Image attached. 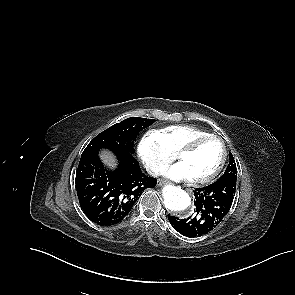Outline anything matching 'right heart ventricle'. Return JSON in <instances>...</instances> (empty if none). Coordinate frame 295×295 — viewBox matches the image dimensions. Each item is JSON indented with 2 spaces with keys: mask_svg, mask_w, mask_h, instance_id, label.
<instances>
[{
  "mask_svg": "<svg viewBox=\"0 0 295 295\" xmlns=\"http://www.w3.org/2000/svg\"><path fill=\"white\" fill-rule=\"evenodd\" d=\"M164 147L175 154L191 139L208 134L204 129L190 125H170L156 131Z\"/></svg>",
  "mask_w": 295,
  "mask_h": 295,
  "instance_id": "obj_1",
  "label": "right heart ventricle"
}]
</instances>
